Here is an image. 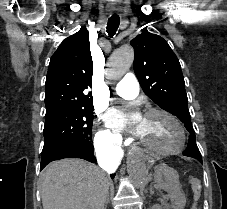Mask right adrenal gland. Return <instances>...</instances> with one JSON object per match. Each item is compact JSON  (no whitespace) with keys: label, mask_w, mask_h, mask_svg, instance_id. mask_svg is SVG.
Listing matches in <instances>:
<instances>
[{"label":"right adrenal gland","mask_w":227,"mask_h":209,"mask_svg":"<svg viewBox=\"0 0 227 209\" xmlns=\"http://www.w3.org/2000/svg\"><path fill=\"white\" fill-rule=\"evenodd\" d=\"M108 203H109V195H107V199L105 201L104 209H107Z\"/></svg>","instance_id":"obj_1"}]
</instances>
